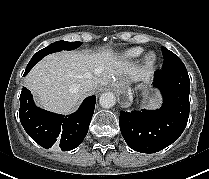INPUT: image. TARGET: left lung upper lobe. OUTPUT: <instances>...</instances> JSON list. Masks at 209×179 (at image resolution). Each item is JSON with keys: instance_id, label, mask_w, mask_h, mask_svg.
<instances>
[{"instance_id": "5c2ea615", "label": "left lung upper lobe", "mask_w": 209, "mask_h": 179, "mask_svg": "<svg viewBox=\"0 0 209 179\" xmlns=\"http://www.w3.org/2000/svg\"><path fill=\"white\" fill-rule=\"evenodd\" d=\"M162 53L164 56L162 69L168 70V69H174L185 66L177 55H175L173 52H171L170 50H168L163 46H162Z\"/></svg>"}]
</instances>
